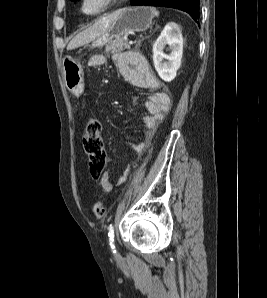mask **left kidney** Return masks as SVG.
<instances>
[{
	"instance_id": "1",
	"label": "left kidney",
	"mask_w": 267,
	"mask_h": 298,
	"mask_svg": "<svg viewBox=\"0 0 267 298\" xmlns=\"http://www.w3.org/2000/svg\"><path fill=\"white\" fill-rule=\"evenodd\" d=\"M166 46L169 47V55L163 52ZM182 54L183 37L181 29L176 23L169 22L153 45L154 66L162 80L170 82L176 77L177 70L181 65Z\"/></svg>"
}]
</instances>
